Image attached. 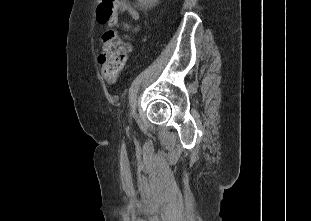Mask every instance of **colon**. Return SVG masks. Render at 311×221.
<instances>
[{
    "label": "colon",
    "instance_id": "5ec220e1",
    "mask_svg": "<svg viewBox=\"0 0 311 221\" xmlns=\"http://www.w3.org/2000/svg\"><path fill=\"white\" fill-rule=\"evenodd\" d=\"M119 0L98 1V8H101L97 16V26H106V17H113L116 4ZM127 49L117 40V33L108 30L102 38V45L99 48V58L102 62V74L107 83H115L120 72L125 66Z\"/></svg>",
    "mask_w": 311,
    "mask_h": 221
}]
</instances>
